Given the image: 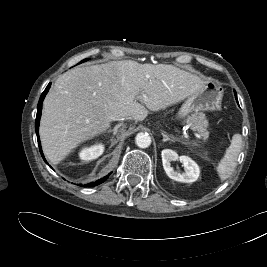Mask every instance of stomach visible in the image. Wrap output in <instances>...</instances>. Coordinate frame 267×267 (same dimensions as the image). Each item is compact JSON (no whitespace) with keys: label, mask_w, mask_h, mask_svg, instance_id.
Wrapping results in <instances>:
<instances>
[{"label":"stomach","mask_w":267,"mask_h":267,"mask_svg":"<svg viewBox=\"0 0 267 267\" xmlns=\"http://www.w3.org/2000/svg\"><path fill=\"white\" fill-rule=\"evenodd\" d=\"M223 90L216 82H208L204 89L190 95L180 108L177 119H184L198 111H216L221 109Z\"/></svg>","instance_id":"1"}]
</instances>
